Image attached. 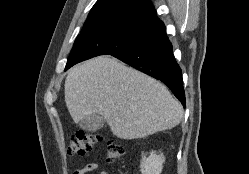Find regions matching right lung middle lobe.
<instances>
[{"label":"right lung middle lobe","mask_w":249,"mask_h":174,"mask_svg":"<svg viewBox=\"0 0 249 174\" xmlns=\"http://www.w3.org/2000/svg\"><path fill=\"white\" fill-rule=\"evenodd\" d=\"M149 27L139 24H116L102 29L82 30L68 57L65 71L78 62L99 55H112L141 42Z\"/></svg>","instance_id":"right-lung-middle-lobe-1"}]
</instances>
